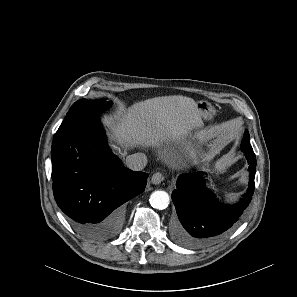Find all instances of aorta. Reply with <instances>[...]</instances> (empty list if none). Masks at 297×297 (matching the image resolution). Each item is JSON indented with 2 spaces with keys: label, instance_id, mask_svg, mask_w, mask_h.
<instances>
[{
  "label": "aorta",
  "instance_id": "aorta-1",
  "mask_svg": "<svg viewBox=\"0 0 297 297\" xmlns=\"http://www.w3.org/2000/svg\"><path fill=\"white\" fill-rule=\"evenodd\" d=\"M150 204L153 208L163 210L169 205V195L165 191H154L150 196Z\"/></svg>",
  "mask_w": 297,
  "mask_h": 297
}]
</instances>
